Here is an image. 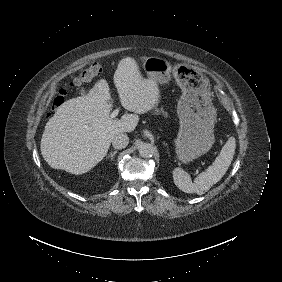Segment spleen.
Listing matches in <instances>:
<instances>
[{
	"instance_id": "obj_1",
	"label": "spleen",
	"mask_w": 282,
	"mask_h": 282,
	"mask_svg": "<svg viewBox=\"0 0 282 282\" xmlns=\"http://www.w3.org/2000/svg\"><path fill=\"white\" fill-rule=\"evenodd\" d=\"M235 148L236 138L230 136L212 165L207 171L196 175L194 182H192L191 176L186 170L176 168L173 174L176 185L187 193H202L209 190L227 172L233 160Z\"/></svg>"
}]
</instances>
